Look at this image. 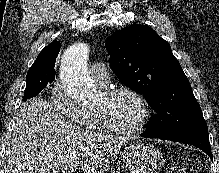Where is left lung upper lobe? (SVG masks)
<instances>
[{"label": "left lung upper lobe", "instance_id": "1", "mask_svg": "<svg viewBox=\"0 0 219 173\" xmlns=\"http://www.w3.org/2000/svg\"><path fill=\"white\" fill-rule=\"evenodd\" d=\"M110 66L120 81L157 112L144 133L155 136L205 128L201 108L167 41L152 28L132 25L106 41Z\"/></svg>", "mask_w": 219, "mask_h": 173}]
</instances>
